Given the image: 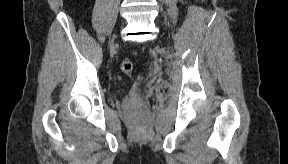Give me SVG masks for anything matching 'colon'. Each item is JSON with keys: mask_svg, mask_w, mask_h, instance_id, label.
<instances>
[{"mask_svg": "<svg viewBox=\"0 0 288 164\" xmlns=\"http://www.w3.org/2000/svg\"><path fill=\"white\" fill-rule=\"evenodd\" d=\"M133 68H134V65H133V62L131 60L125 59L121 62V70L125 74L131 75Z\"/></svg>", "mask_w": 288, "mask_h": 164, "instance_id": "colon-1", "label": "colon"}]
</instances>
